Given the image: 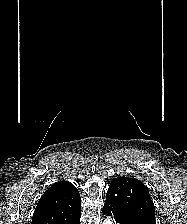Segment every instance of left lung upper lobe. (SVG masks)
Wrapping results in <instances>:
<instances>
[{
	"mask_svg": "<svg viewBox=\"0 0 187 224\" xmlns=\"http://www.w3.org/2000/svg\"><path fill=\"white\" fill-rule=\"evenodd\" d=\"M107 197L114 200L120 211L138 224H156L155 207L148 187L133 177H118L110 183Z\"/></svg>",
	"mask_w": 187,
	"mask_h": 224,
	"instance_id": "obj_1",
	"label": "left lung upper lobe"
}]
</instances>
